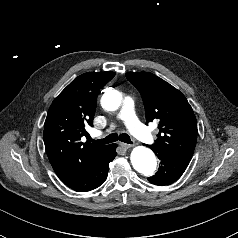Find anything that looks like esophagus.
<instances>
[{
    "mask_svg": "<svg viewBox=\"0 0 238 238\" xmlns=\"http://www.w3.org/2000/svg\"><path fill=\"white\" fill-rule=\"evenodd\" d=\"M120 146H121L122 148H124V149H129V148H132V147H133V145H131V144H126V143H120Z\"/></svg>",
    "mask_w": 238,
    "mask_h": 238,
    "instance_id": "34e87169",
    "label": "esophagus"
}]
</instances>
